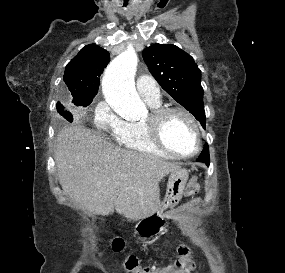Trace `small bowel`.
Here are the masks:
<instances>
[{
  "label": "small bowel",
  "instance_id": "c3829d8e",
  "mask_svg": "<svg viewBox=\"0 0 285 273\" xmlns=\"http://www.w3.org/2000/svg\"><path fill=\"white\" fill-rule=\"evenodd\" d=\"M171 266H166V267H163V268H170ZM158 271L156 273H164L163 271H159V269H157Z\"/></svg>",
  "mask_w": 285,
  "mask_h": 273
}]
</instances>
